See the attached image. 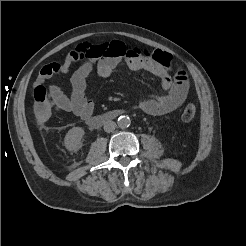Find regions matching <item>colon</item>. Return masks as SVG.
I'll list each match as a JSON object with an SVG mask.
<instances>
[{
	"instance_id": "colon-1",
	"label": "colon",
	"mask_w": 246,
	"mask_h": 246,
	"mask_svg": "<svg viewBox=\"0 0 246 246\" xmlns=\"http://www.w3.org/2000/svg\"><path fill=\"white\" fill-rule=\"evenodd\" d=\"M145 56H150L153 59L166 65L168 68L173 69L172 61L163 55L160 51L150 53L147 51L142 52ZM52 105L49 95L46 89L42 86H36L34 89V103H33V114L38 122H44L47 120L51 114ZM196 116V107L193 104H188L185 106L182 112V120L185 122L192 121Z\"/></svg>"
}]
</instances>
